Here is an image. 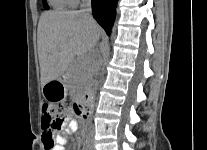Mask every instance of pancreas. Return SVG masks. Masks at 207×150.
<instances>
[{"instance_id":"pancreas-1","label":"pancreas","mask_w":207,"mask_h":150,"mask_svg":"<svg viewBox=\"0 0 207 150\" xmlns=\"http://www.w3.org/2000/svg\"><path fill=\"white\" fill-rule=\"evenodd\" d=\"M83 59L73 63L69 69V83L73 85L72 88H83L85 87L90 78V60L87 63L82 62Z\"/></svg>"}]
</instances>
